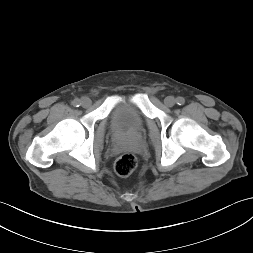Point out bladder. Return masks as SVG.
<instances>
[{
  "mask_svg": "<svg viewBox=\"0 0 253 253\" xmlns=\"http://www.w3.org/2000/svg\"><path fill=\"white\" fill-rule=\"evenodd\" d=\"M110 127L116 136H133L144 127V119L137 107L130 101L119 102L110 115Z\"/></svg>",
  "mask_w": 253,
  "mask_h": 253,
  "instance_id": "obj_1",
  "label": "bladder"
}]
</instances>
